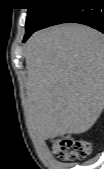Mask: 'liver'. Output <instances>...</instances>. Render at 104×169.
<instances>
[{"label": "liver", "instance_id": "1", "mask_svg": "<svg viewBox=\"0 0 104 169\" xmlns=\"http://www.w3.org/2000/svg\"><path fill=\"white\" fill-rule=\"evenodd\" d=\"M29 124L40 140L88 131L104 107V36L80 24L34 33L24 45Z\"/></svg>", "mask_w": 104, "mask_h": 169}]
</instances>
